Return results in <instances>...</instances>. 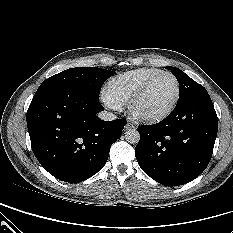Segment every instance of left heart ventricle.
<instances>
[{
  "mask_svg": "<svg viewBox=\"0 0 233 233\" xmlns=\"http://www.w3.org/2000/svg\"><path fill=\"white\" fill-rule=\"evenodd\" d=\"M176 94V84L169 75L158 77L136 104V110L144 114H155L165 110Z\"/></svg>",
  "mask_w": 233,
  "mask_h": 233,
  "instance_id": "b2bd125f",
  "label": "left heart ventricle"
}]
</instances>
